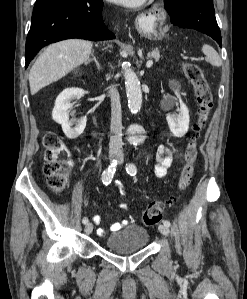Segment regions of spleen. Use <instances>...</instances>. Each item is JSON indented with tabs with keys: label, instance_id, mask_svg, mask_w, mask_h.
<instances>
[{
	"label": "spleen",
	"instance_id": "3e777b00",
	"mask_svg": "<svg viewBox=\"0 0 247 299\" xmlns=\"http://www.w3.org/2000/svg\"><path fill=\"white\" fill-rule=\"evenodd\" d=\"M202 51L206 55V61L211 65L216 67H220L222 65L221 58L213 47L204 44L202 47Z\"/></svg>",
	"mask_w": 247,
	"mask_h": 299
}]
</instances>
